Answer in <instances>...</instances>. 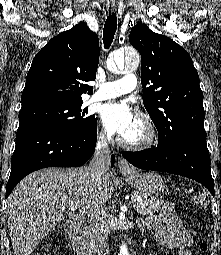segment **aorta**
<instances>
[{
  "instance_id": "obj_1",
  "label": "aorta",
  "mask_w": 221,
  "mask_h": 255,
  "mask_svg": "<svg viewBox=\"0 0 221 255\" xmlns=\"http://www.w3.org/2000/svg\"><path fill=\"white\" fill-rule=\"evenodd\" d=\"M114 61L119 70L126 68L132 71L139 65V56L136 53H127L124 55V52H115Z\"/></svg>"
}]
</instances>
